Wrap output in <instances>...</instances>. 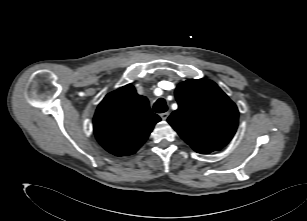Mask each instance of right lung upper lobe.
I'll use <instances>...</instances> for the list:
<instances>
[{
  "label": "right lung upper lobe",
  "mask_w": 307,
  "mask_h": 221,
  "mask_svg": "<svg viewBox=\"0 0 307 221\" xmlns=\"http://www.w3.org/2000/svg\"><path fill=\"white\" fill-rule=\"evenodd\" d=\"M160 117L154 114L146 97L128 84L109 93L93 118L97 141L116 156L134 154L147 140Z\"/></svg>",
  "instance_id": "cb5924a9"
}]
</instances>
